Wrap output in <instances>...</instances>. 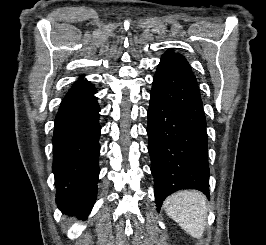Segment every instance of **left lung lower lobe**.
<instances>
[{
    "mask_svg": "<svg viewBox=\"0 0 266 245\" xmlns=\"http://www.w3.org/2000/svg\"><path fill=\"white\" fill-rule=\"evenodd\" d=\"M148 109V152L155 201L182 189L209 194L206 118L197 80L183 62L161 58Z\"/></svg>",
    "mask_w": 266,
    "mask_h": 245,
    "instance_id": "1",
    "label": "left lung lower lobe"
}]
</instances>
